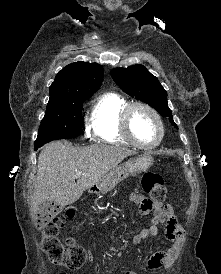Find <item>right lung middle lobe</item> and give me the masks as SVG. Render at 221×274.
Segmentation results:
<instances>
[{
    "label": "right lung middle lobe",
    "mask_w": 221,
    "mask_h": 274,
    "mask_svg": "<svg viewBox=\"0 0 221 274\" xmlns=\"http://www.w3.org/2000/svg\"><path fill=\"white\" fill-rule=\"evenodd\" d=\"M91 96L86 95L70 100L48 102L35 141V150L52 140L79 136L83 102Z\"/></svg>",
    "instance_id": "1"
}]
</instances>
